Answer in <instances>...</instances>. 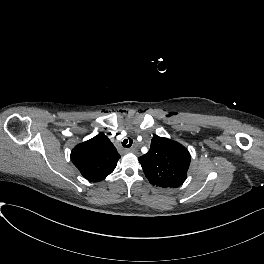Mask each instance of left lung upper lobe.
Listing matches in <instances>:
<instances>
[{
    "instance_id": "5c2ea615",
    "label": "left lung upper lobe",
    "mask_w": 264,
    "mask_h": 264,
    "mask_svg": "<svg viewBox=\"0 0 264 264\" xmlns=\"http://www.w3.org/2000/svg\"><path fill=\"white\" fill-rule=\"evenodd\" d=\"M190 160L183 145L157 135L151 141L149 152L139 157L146 178L163 188H177L185 181Z\"/></svg>"
}]
</instances>
